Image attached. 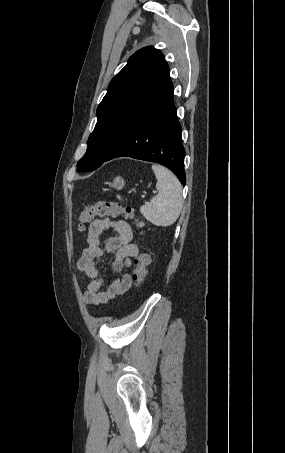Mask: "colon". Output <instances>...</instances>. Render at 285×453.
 Instances as JSON below:
<instances>
[{
  "label": "colon",
  "mask_w": 285,
  "mask_h": 453,
  "mask_svg": "<svg viewBox=\"0 0 285 453\" xmlns=\"http://www.w3.org/2000/svg\"><path fill=\"white\" fill-rule=\"evenodd\" d=\"M124 216L127 219L135 221L137 228L143 227L142 222L134 218V211L129 206H122L118 202L112 201H99L92 206L83 208L79 213L78 227L80 230H84L96 216ZM134 270L132 275V281L135 288H139L145 281L148 273V266L150 264V257L146 252H141L134 260Z\"/></svg>",
  "instance_id": "colon-1"
}]
</instances>
